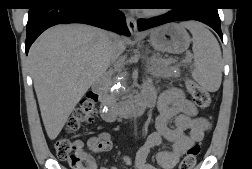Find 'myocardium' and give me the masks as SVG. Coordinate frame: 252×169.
I'll list each match as a JSON object with an SVG mask.
<instances>
[{"mask_svg":"<svg viewBox=\"0 0 252 169\" xmlns=\"http://www.w3.org/2000/svg\"><path fill=\"white\" fill-rule=\"evenodd\" d=\"M150 14H152V13L147 10L143 11V15H150Z\"/></svg>","mask_w":252,"mask_h":169,"instance_id":"1","label":"myocardium"}]
</instances>
